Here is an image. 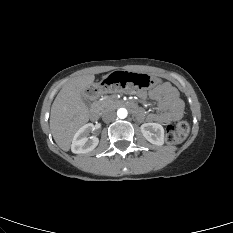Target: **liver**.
<instances>
[{
    "mask_svg": "<svg viewBox=\"0 0 233 233\" xmlns=\"http://www.w3.org/2000/svg\"><path fill=\"white\" fill-rule=\"evenodd\" d=\"M94 80L93 74L71 79L61 88L52 104L50 129L55 142L64 151L70 149L73 136L89 120V109L82 96L94 84Z\"/></svg>",
    "mask_w": 233,
    "mask_h": 233,
    "instance_id": "liver-1",
    "label": "liver"
}]
</instances>
